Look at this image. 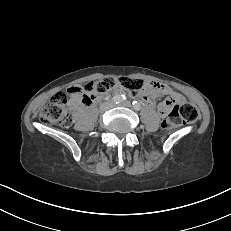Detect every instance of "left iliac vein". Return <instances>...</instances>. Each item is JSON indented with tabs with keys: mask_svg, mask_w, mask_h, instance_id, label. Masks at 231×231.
Returning a JSON list of instances; mask_svg holds the SVG:
<instances>
[{
	"mask_svg": "<svg viewBox=\"0 0 231 231\" xmlns=\"http://www.w3.org/2000/svg\"><path fill=\"white\" fill-rule=\"evenodd\" d=\"M117 106L131 107V103L129 101H125V102L119 103Z\"/></svg>",
	"mask_w": 231,
	"mask_h": 231,
	"instance_id": "4c4485c4",
	"label": "left iliac vein"
}]
</instances>
